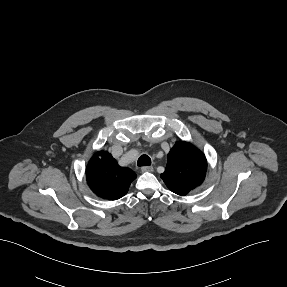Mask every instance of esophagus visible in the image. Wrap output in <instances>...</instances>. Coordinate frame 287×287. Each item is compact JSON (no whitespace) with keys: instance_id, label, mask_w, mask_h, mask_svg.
I'll return each mask as SVG.
<instances>
[{"instance_id":"esophagus-1","label":"esophagus","mask_w":287,"mask_h":287,"mask_svg":"<svg viewBox=\"0 0 287 287\" xmlns=\"http://www.w3.org/2000/svg\"><path fill=\"white\" fill-rule=\"evenodd\" d=\"M154 169L152 166H143L141 167L142 172H152Z\"/></svg>"}]
</instances>
